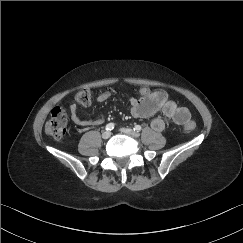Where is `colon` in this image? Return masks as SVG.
<instances>
[{"mask_svg": "<svg viewBox=\"0 0 243 243\" xmlns=\"http://www.w3.org/2000/svg\"><path fill=\"white\" fill-rule=\"evenodd\" d=\"M91 91L88 88H83L77 92L75 100L81 105H88L91 102ZM184 132L192 133L196 129V123L193 120H188L184 124ZM45 132L54 139H63L67 132V114L61 107H55L50 114L48 121L45 124Z\"/></svg>", "mask_w": 243, "mask_h": 243, "instance_id": "1", "label": "colon"}]
</instances>
